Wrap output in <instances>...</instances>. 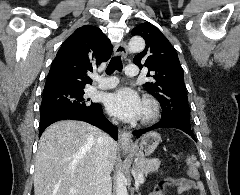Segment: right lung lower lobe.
Listing matches in <instances>:
<instances>
[{
	"label": "right lung lower lobe",
	"instance_id": "right-lung-lower-lobe-1",
	"mask_svg": "<svg viewBox=\"0 0 240 195\" xmlns=\"http://www.w3.org/2000/svg\"><path fill=\"white\" fill-rule=\"evenodd\" d=\"M80 120L97 126L109 133L115 140L118 138L117 127L113 126L104 116L102 107L97 109H68L50 111L40 116L39 136L52 123L66 120Z\"/></svg>",
	"mask_w": 240,
	"mask_h": 195
}]
</instances>
